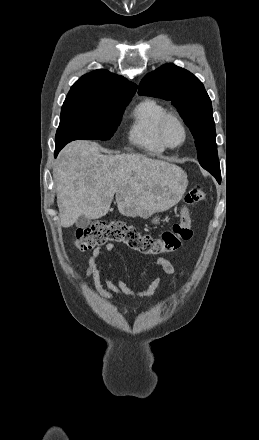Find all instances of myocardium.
Listing matches in <instances>:
<instances>
[{
  "instance_id": "f54148a6",
  "label": "myocardium",
  "mask_w": 259,
  "mask_h": 440,
  "mask_svg": "<svg viewBox=\"0 0 259 440\" xmlns=\"http://www.w3.org/2000/svg\"><path fill=\"white\" fill-rule=\"evenodd\" d=\"M174 120L176 121L179 126L181 127L182 131H183V139L180 143L172 145L168 142L167 138H166V127L167 124L171 121ZM158 137L161 141V143L168 149H176L181 147L182 145H184V143L187 141L188 138V128L187 125L185 124L184 120L182 119V117L176 113V112H167L161 119L159 126H158Z\"/></svg>"
}]
</instances>
